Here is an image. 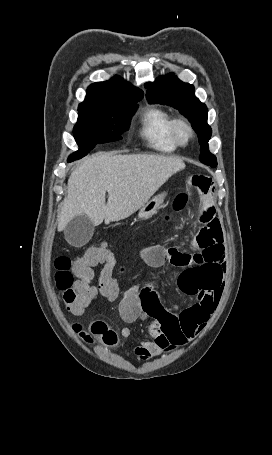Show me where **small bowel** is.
<instances>
[{
    "label": "small bowel",
    "instance_id": "c3829d8e",
    "mask_svg": "<svg viewBox=\"0 0 272 455\" xmlns=\"http://www.w3.org/2000/svg\"><path fill=\"white\" fill-rule=\"evenodd\" d=\"M211 186V178L202 173L191 174L184 181L189 196L203 197L211 192ZM199 221L201 227L194 240L197 253L189 254L162 245L147 247L141 252L151 267L171 264L181 268L178 287L193 303L181 312L173 313L162 305L158 293L151 287L140 292L131 290L124 295L119 312L128 325L122 328V336L131 335L130 324L138 319L149 320L151 327V339L140 341L134 348L140 360H148L193 340L219 303L226 270L223 231L209 208L201 210Z\"/></svg>",
    "mask_w": 272,
    "mask_h": 455
}]
</instances>
